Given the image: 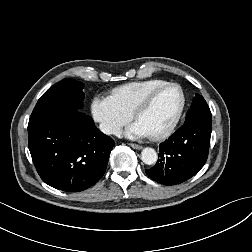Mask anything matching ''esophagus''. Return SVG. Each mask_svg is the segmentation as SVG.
Here are the masks:
<instances>
[{
  "label": "esophagus",
  "instance_id": "34e87169",
  "mask_svg": "<svg viewBox=\"0 0 252 252\" xmlns=\"http://www.w3.org/2000/svg\"><path fill=\"white\" fill-rule=\"evenodd\" d=\"M129 145H130L132 148L137 149V150L142 149V146H141V145H138V144L129 143Z\"/></svg>",
  "mask_w": 252,
  "mask_h": 252
}]
</instances>
